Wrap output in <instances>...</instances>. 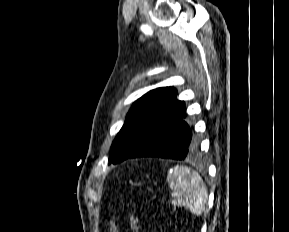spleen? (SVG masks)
<instances>
[{"mask_svg": "<svg viewBox=\"0 0 289 232\" xmlns=\"http://www.w3.org/2000/svg\"><path fill=\"white\" fill-rule=\"evenodd\" d=\"M172 191L177 196L172 203L184 207L192 214L200 216L206 208L208 201L207 187L202 177L187 166H175L167 176Z\"/></svg>", "mask_w": 289, "mask_h": 232, "instance_id": "1", "label": "spleen"}]
</instances>
